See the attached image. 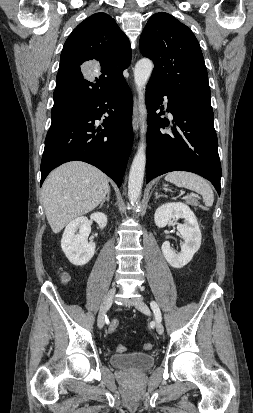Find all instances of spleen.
Returning a JSON list of instances; mask_svg holds the SVG:
<instances>
[{"label":"spleen","mask_w":253,"mask_h":413,"mask_svg":"<svg viewBox=\"0 0 253 413\" xmlns=\"http://www.w3.org/2000/svg\"><path fill=\"white\" fill-rule=\"evenodd\" d=\"M165 180L174 183L178 187H185L201 194L206 207L213 205L214 194L210 184L197 174L186 171H174L168 173Z\"/></svg>","instance_id":"1"}]
</instances>
